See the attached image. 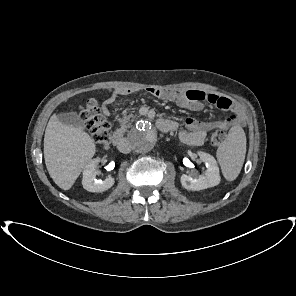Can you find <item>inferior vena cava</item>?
<instances>
[{
  "label": "inferior vena cava",
  "mask_w": 296,
  "mask_h": 296,
  "mask_svg": "<svg viewBox=\"0 0 296 296\" xmlns=\"http://www.w3.org/2000/svg\"><path fill=\"white\" fill-rule=\"evenodd\" d=\"M118 149L123 153H129L131 151V146L129 141L124 138L118 145Z\"/></svg>",
  "instance_id": "obj_1"
}]
</instances>
